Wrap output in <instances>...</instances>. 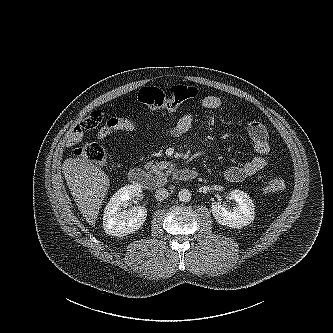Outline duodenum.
Segmentation results:
<instances>
[{"instance_id":"obj_1","label":"duodenum","mask_w":333,"mask_h":333,"mask_svg":"<svg viewBox=\"0 0 333 333\" xmlns=\"http://www.w3.org/2000/svg\"><path fill=\"white\" fill-rule=\"evenodd\" d=\"M197 171L190 168H183L173 174V177L179 181H191L197 178ZM131 183L148 189L161 188L165 184L164 178L155 176L141 168H133L128 174Z\"/></svg>"}]
</instances>
